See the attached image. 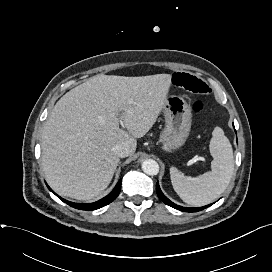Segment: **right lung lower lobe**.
<instances>
[{"label":"right lung lower lobe","instance_id":"98d812e1","mask_svg":"<svg viewBox=\"0 0 272 272\" xmlns=\"http://www.w3.org/2000/svg\"><path fill=\"white\" fill-rule=\"evenodd\" d=\"M49 188V186H47ZM50 189V188H49ZM120 189H121V179L118 181L117 185L115 186V188L113 189V191L107 195L106 197H104L103 199L94 202V203H89V204H83V203H73L70 201H67L65 199H62L61 197H59L62 201H64L65 203H67L68 205L76 208V209H81V210H95V209H99L103 206L108 205L109 203H111L113 200H115V198L119 195L120 193ZM50 191H52L50 189ZM53 192V191H52Z\"/></svg>","mask_w":272,"mask_h":272}]
</instances>
